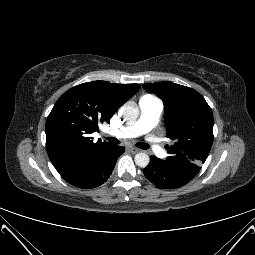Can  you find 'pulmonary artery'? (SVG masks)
I'll use <instances>...</instances> for the list:
<instances>
[{
	"label": "pulmonary artery",
	"instance_id": "pulmonary-artery-1",
	"mask_svg": "<svg viewBox=\"0 0 255 255\" xmlns=\"http://www.w3.org/2000/svg\"><path fill=\"white\" fill-rule=\"evenodd\" d=\"M140 116L134 121L125 124L119 129L111 130L110 133L118 138H133L143 135L152 130L161 117L163 112V104L156 97L147 95L140 99ZM150 149L159 156L164 154L163 148L156 144H149Z\"/></svg>",
	"mask_w": 255,
	"mask_h": 255
}]
</instances>
